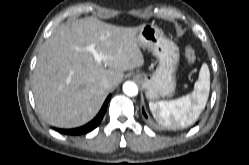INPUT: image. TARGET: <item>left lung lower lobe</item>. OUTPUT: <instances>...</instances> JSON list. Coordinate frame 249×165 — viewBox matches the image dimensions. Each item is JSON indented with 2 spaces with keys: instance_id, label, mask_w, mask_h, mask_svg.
I'll return each mask as SVG.
<instances>
[{
  "instance_id": "1",
  "label": "left lung lower lobe",
  "mask_w": 249,
  "mask_h": 165,
  "mask_svg": "<svg viewBox=\"0 0 249 165\" xmlns=\"http://www.w3.org/2000/svg\"><path fill=\"white\" fill-rule=\"evenodd\" d=\"M142 112H143V114H144L145 118H147V115H146L145 111L143 110Z\"/></svg>"
}]
</instances>
